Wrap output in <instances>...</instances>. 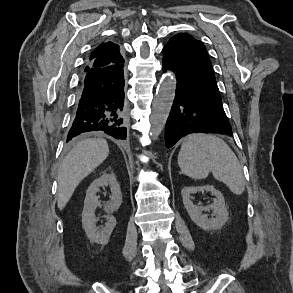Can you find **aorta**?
I'll return each mask as SVG.
<instances>
[{
	"instance_id": "aorta-1",
	"label": "aorta",
	"mask_w": 293,
	"mask_h": 293,
	"mask_svg": "<svg viewBox=\"0 0 293 293\" xmlns=\"http://www.w3.org/2000/svg\"><path fill=\"white\" fill-rule=\"evenodd\" d=\"M176 90V79L172 75L165 76L157 89L153 101V109L150 117L151 131L159 135L169 116Z\"/></svg>"
}]
</instances>
